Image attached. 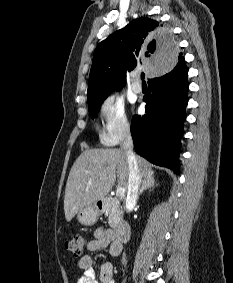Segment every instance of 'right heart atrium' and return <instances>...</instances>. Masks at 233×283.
Returning a JSON list of instances; mask_svg holds the SVG:
<instances>
[{
  "label": "right heart atrium",
  "instance_id": "d8ad5b80",
  "mask_svg": "<svg viewBox=\"0 0 233 283\" xmlns=\"http://www.w3.org/2000/svg\"><path fill=\"white\" fill-rule=\"evenodd\" d=\"M102 120L100 138L103 144L115 146L130 133L125 106L119 99L109 96L101 103L99 109Z\"/></svg>",
  "mask_w": 233,
  "mask_h": 283
}]
</instances>
